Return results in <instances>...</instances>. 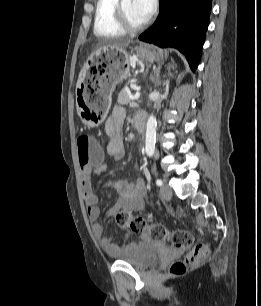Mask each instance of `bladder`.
<instances>
[{
  "instance_id": "1",
  "label": "bladder",
  "mask_w": 261,
  "mask_h": 306,
  "mask_svg": "<svg viewBox=\"0 0 261 306\" xmlns=\"http://www.w3.org/2000/svg\"><path fill=\"white\" fill-rule=\"evenodd\" d=\"M112 258L128 263L135 268L145 269L158 261V254L154 241L142 239L125 253L113 255Z\"/></svg>"
}]
</instances>
